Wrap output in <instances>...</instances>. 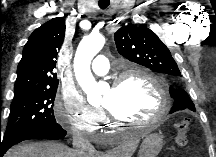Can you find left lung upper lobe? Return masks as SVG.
I'll return each instance as SVG.
<instances>
[{
    "mask_svg": "<svg viewBox=\"0 0 216 157\" xmlns=\"http://www.w3.org/2000/svg\"><path fill=\"white\" fill-rule=\"evenodd\" d=\"M118 52L131 62L145 66L153 72L180 77L181 73L167 46L145 25H126L114 34ZM174 103H182L195 111L188 94L170 87Z\"/></svg>",
    "mask_w": 216,
    "mask_h": 157,
    "instance_id": "left-lung-upper-lobe-1",
    "label": "left lung upper lobe"
}]
</instances>
